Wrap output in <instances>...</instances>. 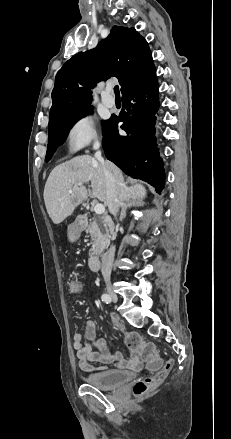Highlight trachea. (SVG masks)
I'll use <instances>...</instances> for the list:
<instances>
[{
  "label": "trachea",
  "mask_w": 231,
  "mask_h": 439,
  "mask_svg": "<svg viewBox=\"0 0 231 439\" xmlns=\"http://www.w3.org/2000/svg\"><path fill=\"white\" fill-rule=\"evenodd\" d=\"M114 93H115L116 97H120V91H119V86L118 85H116L114 87Z\"/></svg>",
  "instance_id": "obj_1"
}]
</instances>
